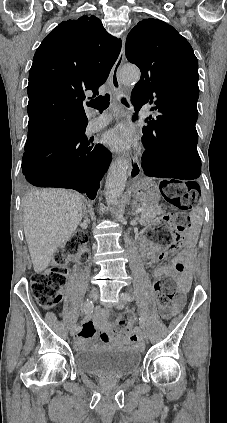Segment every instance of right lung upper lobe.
<instances>
[{"instance_id":"right-lung-upper-lobe-1","label":"right lung upper lobe","mask_w":227,"mask_h":423,"mask_svg":"<svg viewBox=\"0 0 227 423\" xmlns=\"http://www.w3.org/2000/svg\"><path fill=\"white\" fill-rule=\"evenodd\" d=\"M121 40L106 32L94 16L61 22L40 44L27 87L28 137L25 150L42 145L87 121L84 92L98 95L116 62ZM48 106L57 113L33 118L36 109Z\"/></svg>"}]
</instances>
